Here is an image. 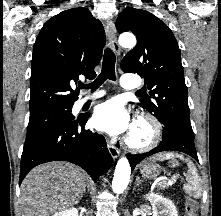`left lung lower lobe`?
<instances>
[{"mask_svg":"<svg viewBox=\"0 0 221 216\" xmlns=\"http://www.w3.org/2000/svg\"><path fill=\"white\" fill-rule=\"evenodd\" d=\"M163 151H179L186 153L193 157L197 162L198 156L194 145V137H190L182 132L176 130H170L168 132L163 131V139L161 143L154 149L143 154H127V157L132 166V170L140 161L153 154Z\"/></svg>","mask_w":221,"mask_h":216,"instance_id":"1","label":"left lung lower lobe"}]
</instances>
